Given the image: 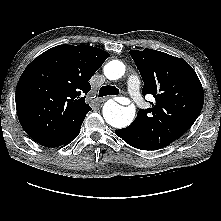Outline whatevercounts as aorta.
Returning a JSON list of instances; mask_svg holds the SVG:
<instances>
[{
    "label": "aorta",
    "mask_w": 221,
    "mask_h": 221,
    "mask_svg": "<svg viewBox=\"0 0 221 221\" xmlns=\"http://www.w3.org/2000/svg\"><path fill=\"white\" fill-rule=\"evenodd\" d=\"M125 73V65L119 60H112L104 66V74L109 80H117ZM105 121L115 127L124 128L130 125L135 117L133 106L123 107L113 100H108L103 107Z\"/></svg>",
    "instance_id": "1"
}]
</instances>
